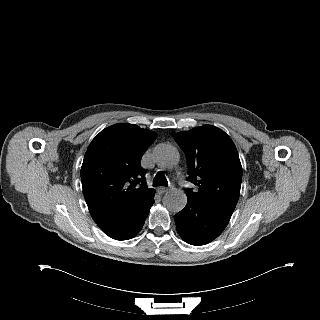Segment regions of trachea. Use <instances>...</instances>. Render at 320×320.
<instances>
[{
	"mask_svg": "<svg viewBox=\"0 0 320 320\" xmlns=\"http://www.w3.org/2000/svg\"><path fill=\"white\" fill-rule=\"evenodd\" d=\"M168 181L163 172H158L153 180L154 186H167Z\"/></svg>",
	"mask_w": 320,
	"mask_h": 320,
	"instance_id": "1",
	"label": "trachea"
}]
</instances>
